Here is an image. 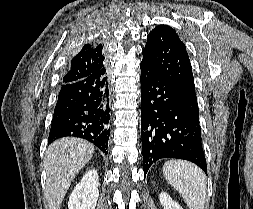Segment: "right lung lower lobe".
Listing matches in <instances>:
<instances>
[{
	"mask_svg": "<svg viewBox=\"0 0 253 209\" xmlns=\"http://www.w3.org/2000/svg\"><path fill=\"white\" fill-rule=\"evenodd\" d=\"M107 96L105 71L63 84L55 106L48 144L62 137H79L107 154L110 116L109 107L103 109L102 103Z\"/></svg>",
	"mask_w": 253,
	"mask_h": 209,
	"instance_id": "right-lung-lower-lobe-1",
	"label": "right lung lower lobe"
}]
</instances>
